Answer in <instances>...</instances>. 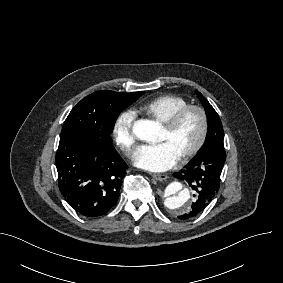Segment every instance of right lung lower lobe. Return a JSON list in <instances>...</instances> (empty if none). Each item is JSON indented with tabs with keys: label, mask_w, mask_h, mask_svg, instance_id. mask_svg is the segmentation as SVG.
<instances>
[{
	"label": "right lung lower lobe",
	"mask_w": 283,
	"mask_h": 283,
	"mask_svg": "<svg viewBox=\"0 0 283 283\" xmlns=\"http://www.w3.org/2000/svg\"><path fill=\"white\" fill-rule=\"evenodd\" d=\"M55 164L59 190L79 215L99 217L116 204L127 165L112 144L82 135L61 137Z\"/></svg>",
	"instance_id": "obj_1"
}]
</instances>
